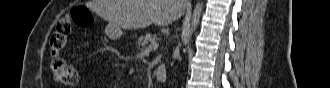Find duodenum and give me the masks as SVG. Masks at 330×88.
<instances>
[{
  "instance_id": "1",
  "label": "duodenum",
  "mask_w": 330,
  "mask_h": 88,
  "mask_svg": "<svg viewBox=\"0 0 330 88\" xmlns=\"http://www.w3.org/2000/svg\"><path fill=\"white\" fill-rule=\"evenodd\" d=\"M155 77L159 81H163L166 77L167 69L164 65H159L154 70Z\"/></svg>"
}]
</instances>
